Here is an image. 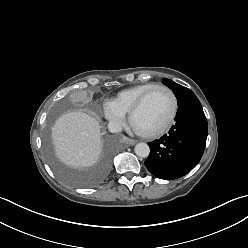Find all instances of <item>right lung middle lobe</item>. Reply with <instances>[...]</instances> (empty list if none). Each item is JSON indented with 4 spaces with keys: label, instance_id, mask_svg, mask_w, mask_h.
Segmentation results:
<instances>
[{
    "label": "right lung middle lobe",
    "instance_id": "right-lung-middle-lobe-1",
    "mask_svg": "<svg viewBox=\"0 0 248 248\" xmlns=\"http://www.w3.org/2000/svg\"><path fill=\"white\" fill-rule=\"evenodd\" d=\"M46 151L54 171L66 182L81 187L97 184L107 173L114 155L113 148L108 147L100 163L95 168L88 170H74L62 164L54 156L49 138L46 139Z\"/></svg>",
    "mask_w": 248,
    "mask_h": 248
}]
</instances>
